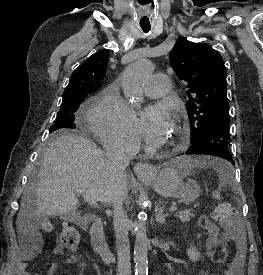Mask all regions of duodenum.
<instances>
[{
	"label": "duodenum",
	"instance_id": "1",
	"mask_svg": "<svg viewBox=\"0 0 263 275\" xmlns=\"http://www.w3.org/2000/svg\"><path fill=\"white\" fill-rule=\"evenodd\" d=\"M90 236L94 251L107 263L115 260L104 235L103 222L96 219L90 227Z\"/></svg>",
	"mask_w": 263,
	"mask_h": 275
}]
</instances>
